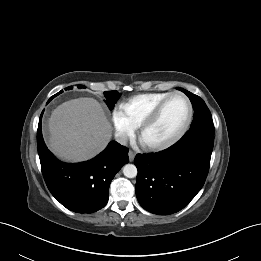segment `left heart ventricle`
<instances>
[{
  "mask_svg": "<svg viewBox=\"0 0 261 261\" xmlns=\"http://www.w3.org/2000/svg\"><path fill=\"white\" fill-rule=\"evenodd\" d=\"M187 118V104L180 96L172 97L163 107L160 115L143 135L146 142H160L175 135Z\"/></svg>",
  "mask_w": 261,
  "mask_h": 261,
  "instance_id": "1",
  "label": "left heart ventricle"
}]
</instances>
